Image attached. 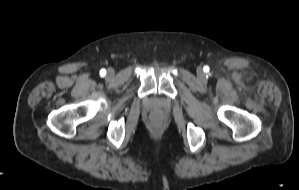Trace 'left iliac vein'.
<instances>
[{
	"label": "left iliac vein",
	"mask_w": 299,
	"mask_h": 190,
	"mask_svg": "<svg viewBox=\"0 0 299 190\" xmlns=\"http://www.w3.org/2000/svg\"><path fill=\"white\" fill-rule=\"evenodd\" d=\"M198 76L199 78L203 79L204 78V73L201 69L198 70Z\"/></svg>",
	"instance_id": "left-iliac-vein-1"
}]
</instances>
